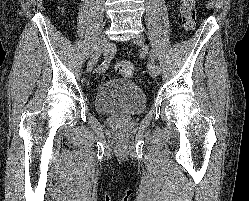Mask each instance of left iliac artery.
Here are the masks:
<instances>
[{"instance_id":"obj_1","label":"left iliac artery","mask_w":249,"mask_h":201,"mask_svg":"<svg viewBox=\"0 0 249 201\" xmlns=\"http://www.w3.org/2000/svg\"><path fill=\"white\" fill-rule=\"evenodd\" d=\"M149 55H150V57H151L152 60H155V59H156V54H155L154 51H152V50L149 51ZM156 68H157L158 73H160V72H161V67L158 66V65H156Z\"/></svg>"}]
</instances>
